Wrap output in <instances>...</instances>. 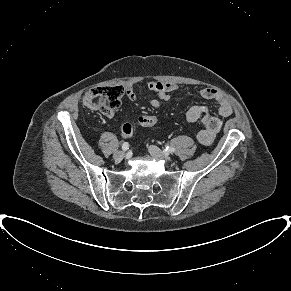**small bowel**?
Instances as JSON below:
<instances>
[{
    "label": "small bowel",
    "mask_w": 291,
    "mask_h": 291,
    "mask_svg": "<svg viewBox=\"0 0 291 291\" xmlns=\"http://www.w3.org/2000/svg\"><path fill=\"white\" fill-rule=\"evenodd\" d=\"M147 87L155 94L150 101L154 108L161 106L162 102L170 99V93L177 89V85L172 82L151 81ZM125 94L129 101L135 102L137 99V87L135 84H128L125 87ZM201 96L206 100H213L218 103V113L222 117H228L233 113V107L229 100L219 91L213 88H204L201 90ZM105 115L112 118L115 115L114 110L105 111ZM186 121L194 124L199 119L203 128L196 133L197 140L203 145H210L215 135L220 131L222 119L210 115L209 109L205 105H196L191 107L185 114Z\"/></svg>",
    "instance_id": "obj_1"
}]
</instances>
